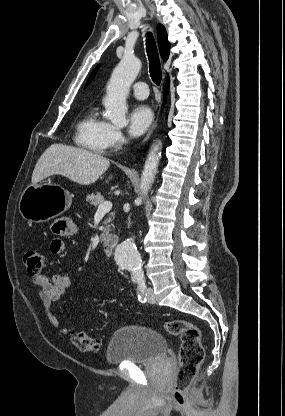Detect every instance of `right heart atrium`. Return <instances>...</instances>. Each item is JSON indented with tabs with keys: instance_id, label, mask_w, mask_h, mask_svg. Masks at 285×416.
<instances>
[{
	"instance_id": "obj_1",
	"label": "right heart atrium",
	"mask_w": 285,
	"mask_h": 416,
	"mask_svg": "<svg viewBox=\"0 0 285 416\" xmlns=\"http://www.w3.org/2000/svg\"><path fill=\"white\" fill-rule=\"evenodd\" d=\"M124 142V136L121 129L115 125H111L105 136L104 149H116Z\"/></svg>"
}]
</instances>
